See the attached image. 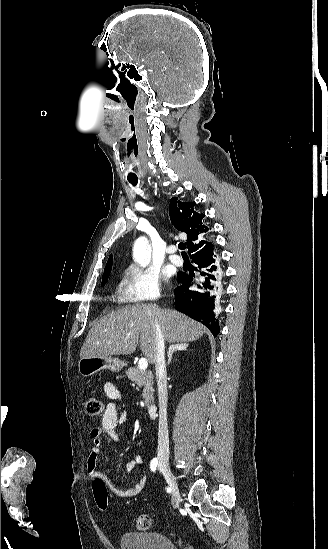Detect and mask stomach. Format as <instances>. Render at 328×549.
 <instances>
[{"mask_svg": "<svg viewBox=\"0 0 328 549\" xmlns=\"http://www.w3.org/2000/svg\"><path fill=\"white\" fill-rule=\"evenodd\" d=\"M126 363L116 359V357H81L78 361V373L82 377H91L95 375L98 371H103V369H108V371H113V373H119Z\"/></svg>", "mask_w": 328, "mask_h": 549, "instance_id": "1", "label": "stomach"}]
</instances>
